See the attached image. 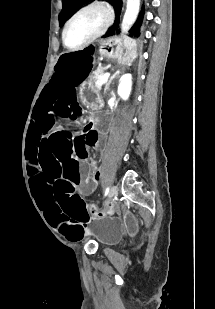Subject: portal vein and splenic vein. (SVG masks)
I'll use <instances>...</instances> for the list:
<instances>
[{"label":"portal vein and splenic vein","mask_w":215,"mask_h":309,"mask_svg":"<svg viewBox=\"0 0 215 309\" xmlns=\"http://www.w3.org/2000/svg\"><path fill=\"white\" fill-rule=\"evenodd\" d=\"M110 76V72H106V74H103V76H101L100 80H99V84H101V82H106V80H108Z\"/></svg>","instance_id":"portal-vein-and-splenic-vein-1"}]
</instances>
